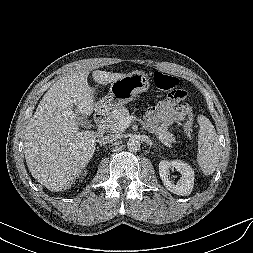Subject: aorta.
<instances>
[{
    "instance_id": "762f6f07",
    "label": "aorta",
    "mask_w": 253,
    "mask_h": 253,
    "mask_svg": "<svg viewBox=\"0 0 253 253\" xmlns=\"http://www.w3.org/2000/svg\"><path fill=\"white\" fill-rule=\"evenodd\" d=\"M140 145V141L135 137L129 138L127 141V148L132 152L138 151L140 149Z\"/></svg>"
}]
</instances>
